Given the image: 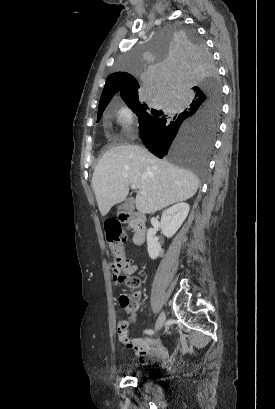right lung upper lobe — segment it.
Returning <instances> with one entry per match:
<instances>
[{"mask_svg": "<svg viewBox=\"0 0 275 409\" xmlns=\"http://www.w3.org/2000/svg\"><path fill=\"white\" fill-rule=\"evenodd\" d=\"M139 83L129 73H113L108 76L102 96L100 98L98 112L105 109L116 92H120L123 99L138 96Z\"/></svg>", "mask_w": 275, "mask_h": 409, "instance_id": "obj_1", "label": "right lung upper lobe"}]
</instances>
